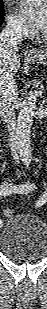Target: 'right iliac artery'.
I'll return each mask as SVG.
<instances>
[{
	"label": "right iliac artery",
	"mask_w": 47,
	"mask_h": 309,
	"mask_svg": "<svg viewBox=\"0 0 47 309\" xmlns=\"http://www.w3.org/2000/svg\"><path fill=\"white\" fill-rule=\"evenodd\" d=\"M34 188L33 184L26 183V184H5L1 187L0 195L7 196L13 193L23 194L32 191Z\"/></svg>",
	"instance_id": "obj_1"
}]
</instances>
